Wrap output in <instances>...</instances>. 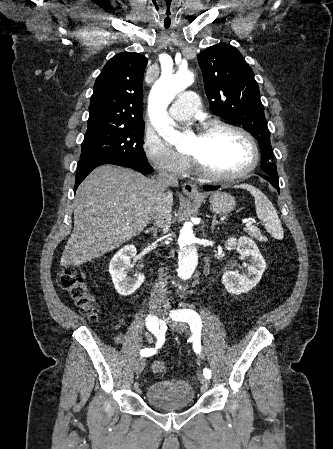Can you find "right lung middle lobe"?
<instances>
[{"instance_id":"right-lung-middle-lobe-1","label":"right lung middle lobe","mask_w":333,"mask_h":449,"mask_svg":"<svg viewBox=\"0 0 333 449\" xmlns=\"http://www.w3.org/2000/svg\"><path fill=\"white\" fill-rule=\"evenodd\" d=\"M142 138L143 122L125 126L88 127L82 143L80 161L107 158L146 163Z\"/></svg>"}]
</instances>
